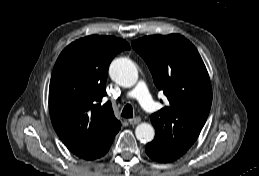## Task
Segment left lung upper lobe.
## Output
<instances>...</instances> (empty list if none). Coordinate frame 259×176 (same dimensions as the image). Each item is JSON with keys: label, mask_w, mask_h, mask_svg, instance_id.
<instances>
[{"label": "left lung upper lobe", "mask_w": 259, "mask_h": 176, "mask_svg": "<svg viewBox=\"0 0 259 176\" xmlns=\"http://www.w3.org/2000/svg\"><path fill=\"white\" fill-rule=\"evenodd\" d=\"M131 44L169 101L150 117L156 129L154 141L186 152L198 138L212 103L211 83L200 54L179 34L146 36Z\"/></svg>", "instance_id": "1"}]
</instances>
